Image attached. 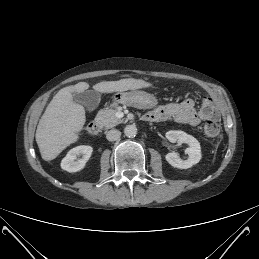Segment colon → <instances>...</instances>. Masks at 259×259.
I'll list each match as a JSON object with an SVG mask.
<instances>
[{"label":"colon","instance_id":"1","mask_svg":"<svg viewBox=\"0 0 259 259\" xmlns=\"http://www.w3.org/2000/svg\"><path fill=\"white\" fill-rule=\"evenodd\" d=\"M201 108L209 116L204 124V134L207 138L213 139L220 133V125L217 121V111L210 98L203 99Z\"/></svg>","mask_w":259,"mask_h":259}]
</instances>
